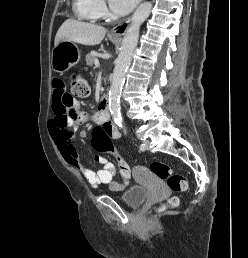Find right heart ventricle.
Here are the masks:
<instances>
[{
	"label": "right heart ventricle",
	"mask_w": 248,
	"mask_h": 258,
	"mask_svg": "<svg viewBox=\"0 0 248 258\" xmlns=\"http://www.w3.org/2000/svg\"><path fill=\"white\" fill-rule=\"evenodd\" d=\"M72 7L75 16L80 20L93 22L99 17L94 0H73Z\"/></svg>",
	"instance_id": "1"
}]
</instances>
